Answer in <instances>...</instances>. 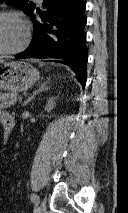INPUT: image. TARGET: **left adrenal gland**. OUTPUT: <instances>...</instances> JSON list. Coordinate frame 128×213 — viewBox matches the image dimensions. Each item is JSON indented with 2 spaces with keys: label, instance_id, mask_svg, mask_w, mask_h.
I'll list each match as a JSON object with an SVG mask.
<instances>
[{
  "label": "left adrenal gland",
  "instance_id": "a2214340",
  "mask_svg": "<svg viewBox=\"0 0 128 213\" xmlns=\"http://www.w3.org/2000/svg\"><path fill=\"white\" fill-rule=\"evenodd\" d=\"M47 83L48 82H44L42 83L39 88L33 92V94L28 97V99L24 102L23 106H26L30 101H32L34 99V97L38 94V93H41L43 91H47L49 88L47 87Z\"/></svg>",
  "mask_w": 128,
  "mask_h": 213
}]
</instances>
